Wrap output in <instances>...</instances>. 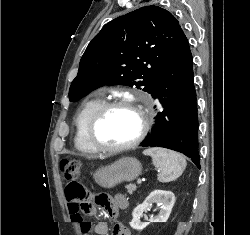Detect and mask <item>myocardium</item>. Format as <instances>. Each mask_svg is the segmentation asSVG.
<instances>
[{
  "label": "myocardium",
  "mask_w": 250,
  "mask_h": 235,
  "mask_svg": "<svg viewBox=\"0 0 250 235\" xmlns=\"http://www.w3.org/2000/svg\"><path fill=\"white\" fill-rule=\"evenodd\" d=\"M117 107H128L136 110L141 117V126L136 137L121 145H107L102 143L97 137V129L103 117L111 110ZM150 124L149 112L146 106L135 98L118 97L109 101L103 102L97 110L92 114L86 129V136L89 143L98 151L106 153H116L130 150L138 146L145 138Z\"/></svg>",
  "instance_id": "myocardium-1"
}]
</instances>
